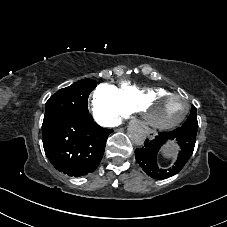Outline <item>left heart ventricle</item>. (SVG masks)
<instances>
[{"mask_svg": "<svg viewBox=\"0 0 227 227\" xmlns=\"http://www.w3.org/2000/svg\"><path fill=\"white\" fill-rule=\"evenodd\" d=\"M184 107L183 98L164 97L150 107L149 114L154 121L166 124L180 117Z\"/></svg>", "mask_w": 227, "mask_h": 227, "instance_id": "b2bd125f", "label": "left heart ventricle"}]
</instances>
